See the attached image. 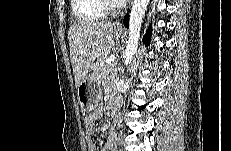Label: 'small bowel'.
<instances>
[{
    "label": "small bowel",
    "instance_id": "c3829d8e",
    "mask_svg": "<svg viewBox=\"0 0 231 151\" xmlns=\"http://www.w3.org/2000/svg\"><path fill=\"white\" fill-rule=\"evenodd\" d=\"M102 116L101 110H96L93 114L85 119L86 141L88 151H96V145L93 141L92 135L94 133V123ZM116 148V133L112 128L108 135L107 146L102 151H114Z\"/></svg>",
    "mask_w": 231,
    "mask_h": 151
}]
</instances>
